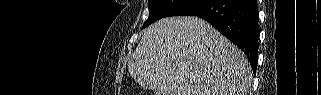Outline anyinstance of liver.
Returning <instances> with one entry per match:
<instances>
[{"label": "liver", "mask_w": 321, "mask_h": 95, "mask_svg": "<svg viewBox=\"0 0 321 95\" xmlns=\"http://www.w3.org/2000/svg\"><path fill=\"white\" fill-rule=\"evenodd\" d=\"M128 71L155 95H247L252 79L242 51L196 17L163 18L145 29Z\"/></svg>", "instance_id": "6515ba94"}]
</instances>
